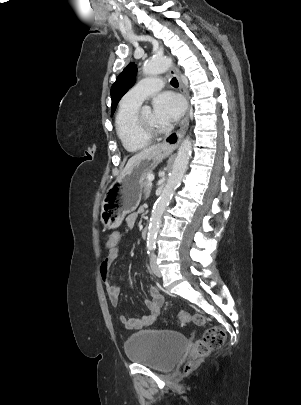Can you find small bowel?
<instances>
[{
    "label": "small bowel",
    "instance_id": "small-bowel-1",
    "mask_svg": "<svg viewBox=\"0 0 301 405\" xmlns=\"http://www.w3.org/2000/svg\"><path fill=\"white\" fill-rule=\"evenodd\" d=\"M138 217L137 212H132L126 217V225L128 228H133ZM121 239V234L117 231L112 233V236L109 237L107 241V256L101 264L100 272L102 279L106 286V291L109 297L110 302L113 306L119 304L121 296V286L114 282L113 276L111 273V266L113 262L118 258L119 247L118 244ZM150 298L145 300V306L149 310V314L141 318H128L125 315L120 316L121 323L131 330H138L145 327L151 326L158 318L160 310L163 305V297L154 286H151L149 289Z\"/></svg>",
    "mask_w": 301,
    "mask_h": 405
}]
</instances>
